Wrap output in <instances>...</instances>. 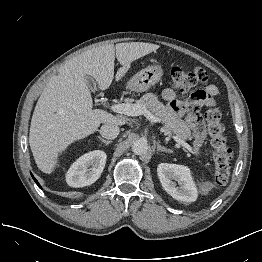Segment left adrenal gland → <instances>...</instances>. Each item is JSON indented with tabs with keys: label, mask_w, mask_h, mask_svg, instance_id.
Listing matches in <instances>:
<instances>
[{
	"label": "left adrenal gland",
	"mask_w": 262,
	"mask_h": 262,
	"mask_svg": "<svg viewBox=\"0 0 262 262\" xmlns=\"http://www.w3.org/2000/svg\"><path fill=\"white\" fill-rule=\"evenodd\" d=\"M168 152V153H172V150L167 149L163 146H161L160 142H157V152Z\"/></svg>",
	"instance_id": "a2214340"
}]
</instances>
